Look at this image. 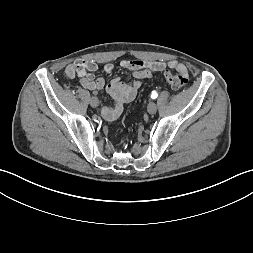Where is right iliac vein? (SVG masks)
<instances>
[{
    "label": "right iliac vein",
    "mask_w": 253,
    "mask_h": 253,
    "mask_svg": "<svg viewBox=\"0 0 253 253\" xmlns=\"http://www.w3.org/2000/svg\"><path fill=\"white\" fill-rule=\"evenodd\" d=\"M90 105L93 107V108H96L98 105H99V100L97 97H92L91 100H90Z\"/></svg>",
    "instance_id": "63e3f726"
}]
</instances>
